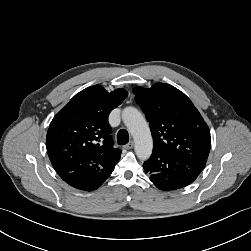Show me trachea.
Masks as SVG:
<instances>
[{"instance_id":"obj_1","label":"trachea","mask_w":251,"mask_h":251,"mask_svg":"<svg viewBox=\"0 0 251 251\" xmlns=\"http://www.w3.org/2000/svg\"><path fill=\"white\" fill-rule=\"evenodd\" d=\"M117 142L119 145H125L129 142V134L127 130H119V132L117 133Z\"/></svg>"}]
</instances>
